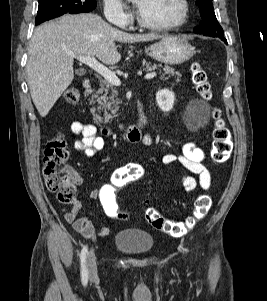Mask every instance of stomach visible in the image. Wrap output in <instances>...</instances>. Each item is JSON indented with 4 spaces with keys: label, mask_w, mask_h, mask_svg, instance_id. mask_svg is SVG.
Returning <instances> with one entry per match:
<instances>
[{
    "label": "stomach",
    "mask_w": 267,
    "mask_h": 301,
    "mask_svg": "<svg viewBox=\"0 0 267 301\" xmlns=\"http://www.w3.org/2000/svg\"><path fill=\"white\" fill-rule=\"evenodd\" d=\"M145 53L159 62L177 65L191 59L195 54V48L186 39L166 36L145 48Z\"/></svg>",
    "instance_id": "stomach-1"
}]
</instances>
